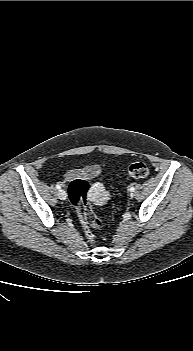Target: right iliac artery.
<instances>
[{"label": "right iliac artery", "instance_id": "right-iliac-artery-1", "mask_svg": "<svg viewBox=\"0 0 193 351\" xmlns=\"http://www.w3.org/2000/svg\"><path fill=\"white\" fill-rule=\"evenodd\" d=\"M56 188H57L58 190H61V186H60L59 184L56 185Z\"/></svg>", "mask_w": 193, "mask_h": 351}]
</instances>
